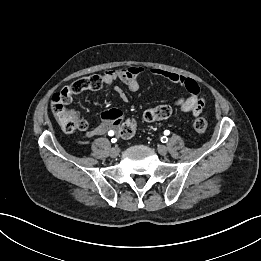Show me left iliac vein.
<instances>
[{"instance_id":"left-iliac-vein-1","label":"left iliac vein","mask_w":261,"mask_h":261,"mask_svg":"<svg viewBox=\"0 0 261 261\" xmlns=\"http://www.w3.org/2000/svg\"><path fill=\"white\" fill-rule=\"evenodd\" d=\"M157 150H158V153L161 154V155H166L167 152H168L167 147L164 146V145H159Z\"/></svg>"}]
</instances>
